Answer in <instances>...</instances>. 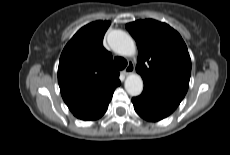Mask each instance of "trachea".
<instances>
[{"label":"trachea","instance_id":"obj_1","mask_svg":"<svg viewBox=\"0 0 230 155\" xmlns=\"http://www.w3.org/2000/svg\"><path fill=\"white\" fill-rule=\"evenodd\" d=\"M114 65L118 70H123L127 66V61L122 57H115Z\"/></svg>","mask_w":230,"mask_h":155}]
</instances>
